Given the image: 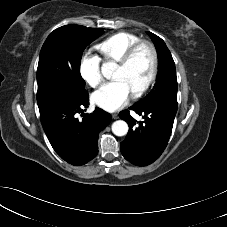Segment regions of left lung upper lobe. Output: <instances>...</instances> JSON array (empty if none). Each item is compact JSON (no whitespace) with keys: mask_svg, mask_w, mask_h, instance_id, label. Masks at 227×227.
<instances>
[{"mask_svg":"<svg viewBox=\"0 0 227 227\" xmlns=\"http://www.w3.org/2000/svg\"><path fill=\"white\" fill-rule=\"evenodd\" d=\"M158 54V78L147 96L133 106H145L154 102H161L177 107V77L175 63L165 42L157 35L147 32Z\"/></svg>","mask_w":227,"mask_h":227,"instance_id":"5c2ea615","label":"left lung upper lobe"}]
</instances>
